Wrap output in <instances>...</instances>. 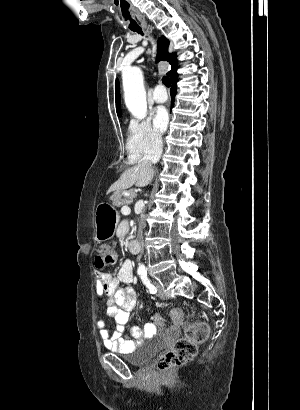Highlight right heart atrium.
<instances>
[{
  "label": "right heart atrium",
  "mask_w": 300,
  "mask_h": 410,
  "mask_svg": "<svg viewBox=\"0 0 300 410\" xmlns=\"http://www.w3.org/2000/svg\"><path fill=\"white\" fill-rule=\"evenodd\" d=\"M162 145V135L148 119H132L128 125L126 150L128 158L138 160L157 152Z\"/></svg>",
  "instance_id": "right-heart-atrium-1"
}]
</instances>
